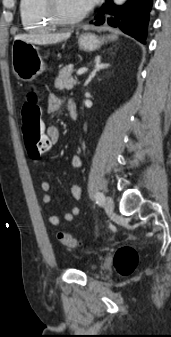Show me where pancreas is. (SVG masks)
I'll list each match as a JSON object with an SVG mask.
<instances>
[{"instance_id":"1","label":"pancreas","mask_w":171,"mask_h":337,"mask_svg":"<svg viewBox=\"0 0 171 337\" xmlns=\"http://www.w3.org/2000/svg\"><path fill=\"white\" fill-rule=\"evenodd\" d=\"M73 65H68L59 71L58 77L55 80V87L60 90H71L77 84L76 80L72 79Z\"/></svg>"}]
</instances>
